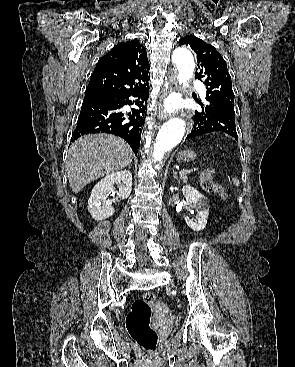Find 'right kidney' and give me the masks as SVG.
<instances>
[{
    "mask_svg": "<svg viewBox=\"0 0 295 367\" xmlns=\"http://www.w3.org/2000/svg\"><path fill=\"white\" fill-rule=\"evenodd\" d=\"M114 184H119V190L116 192V196ZM131 190L132 174L127 170L111 173L101 179L92 189L88 200V211L92 218L101 221L112 216L115 212L112 207V202L128 198ZM111 192L114 196V200L112 201L107 200Z\"/></svg>",
    "mask_w": 295,
    "mask_h": 367,
    "instance_id": "obj_1",
    "label": "right kidney"
}]
</instances>
